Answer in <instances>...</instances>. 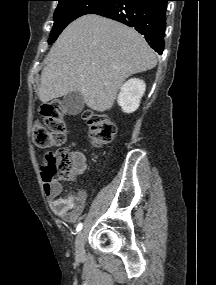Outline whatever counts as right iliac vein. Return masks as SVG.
<instances>
[{
    "instance_id": "1",
    "label": "right iliac vein",
    "mask_w": 216,
    "mask_h": 285,
    "mask_svg": "<svg viewBox=\"0 0 216 285\" xmlns=\"http://www.w3.org/2000/svg\"><path fill=\"white\" fill-rule=\"evenodd\" d=\"M84 232L80 231L75 240L76 255L82 257L84 255Z\"/></svg>"
}]
</instances>
